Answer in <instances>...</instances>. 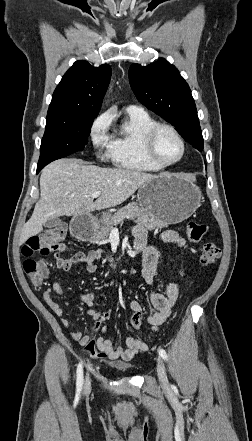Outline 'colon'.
<instances>
[{"instance_id": "1", "label": "colon", "mask_w": 252, "mask_h": 441, "mask_svg": "<svg viewBox=\"0 0 252 441\" xmlns=\"http://www.w3.org/2000/svg\"><path fill=\"white\" fill-rule=\"evenodd\" d=\"M207 231V226L195 221H189L186 225V234L190 241H200ZM66 235L65 226L56 225L47 231L31 237L22 248L23 268L29 276L34 286L42 285L48 275L45 263L41 260L34 259L35 254L46 256L52 252H63L66 250L64 243ZM220 257L219 247L211 242L205 243L202 247L200 255V263L202 266H210L214 264ZM112 316L111 310L101 312L97 325L108 321ZM129 323L135 330H141L143 327V319L141 311H132L129 317ZM85 352L92 358H103L104 354L99 350L95 341L90 340L85 344Z\"/></svg>"}]
</instances>
